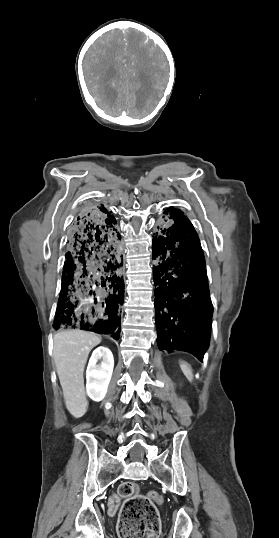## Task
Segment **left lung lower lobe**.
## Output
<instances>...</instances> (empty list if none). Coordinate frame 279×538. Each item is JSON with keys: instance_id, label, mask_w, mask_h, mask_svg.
Instances as JSON below:
<instances>
[{"instance_id": "left-lung-lower-lobe-1", "label": "left lung lower lobe", "mask_w": 279, "mask_h": 538, "mask_svg": "<svg viewBox=\"0 0 279 538\" xmlns=\"http://www.w3.org/2000/svg\"><path fill=\"white\" fill-rule=\"evenodd\" d=\"M152 240L157 344L203 361L213 307L204 254L188 218H175Z\"/></svg>"}]
</instances>
